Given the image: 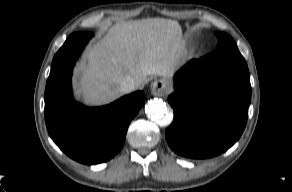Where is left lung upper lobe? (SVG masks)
Returning a JSON list of instances; mask_svg holds the SVG:
<instances>
[{
  "mask_svg": "<svg viewBox=\"0 0 292 192\" xmlns=\"http://www.w3.org/2000/svg\"><path fill=\"white\" fill-rule=\"evenodd\" d=\"M215 35L218 38V45H217L216 51L218 50L239 51L236 43L228 34H225L222 32H216Z\"/></svg>",
  "mask_w": 292,
  "mask_h": 192,
  "instance_id": "left-lung-upper-lobe-1",
  "label": "left lung upper lobe"
}]
</instances>
